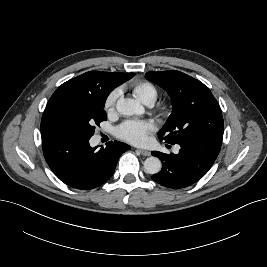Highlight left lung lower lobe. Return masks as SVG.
<instances>
[{
  "instance_id": "1",
  "label": "left lung lower lobe",
  "mask_w": 267,
  "mask_h": 267,
  "mask_svg": "<svg viewBox=\"0 0 267 267\" xmlns=\"http://www.w3.org/2000/svg\"><path fill=\"white\" fill-rule=\"evenodd\" d=\"M221 144V138L204 137L180 143L178 154L153 151L151 154L160 158L162 169L151 178L167 188L188 187L208 172L220 152Z\"/></svg>"
}]
</instances>
